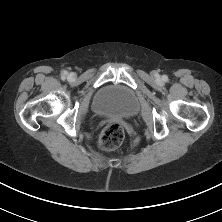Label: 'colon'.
<instances>
[{
    "label": "colon",
    "instance_id": "1",
    "mask_svg": "<svg viewBox=\"0 0 222 222\" xmlns=\"http://www.w3.org/2000/svg\"><path fill=\"white\" fill-rule=\"evenodd\" d=\"M125 138V130L118 122L107 124L99 138V146L104 150H113L121 145Z\"/></svg>",
    "mask_w": 222,
    "mask_h": 222
}]
</instances>
